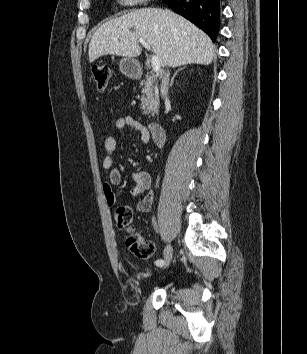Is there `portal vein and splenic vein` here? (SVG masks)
I'll return each instance as SVG.
<instances>
[{"label":"portal vein and splenic vein","instance_id":"portal-vein-and-splenic-vein-1","mask_svg":"<svg viewBox=\"0 0 307 354\" xmlns=\"http://www.w3.org/2000/svg\"><path fill=\"white\" fill-rule=\"evenodd\" d=\"M138 42L140 44H142V46L150 51L151 50V47L150 45L142 38H139L138 39ZM151 66H152V69L153 71L157 74L159 71H160V68H161V63H160V59L158 58V56L156 55H152V58H151Z\"/></svg>","mask_w":307,"mask_h":354}]
</instances>
